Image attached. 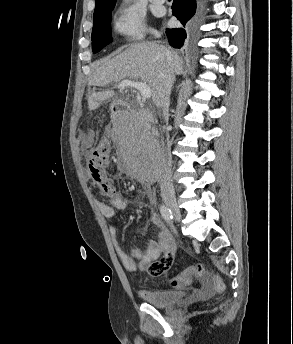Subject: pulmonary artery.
<instances>
[{
  "label": "pulmonary artery",
  "instance_id": "pulmonary-artery-1",
  "mask_svg": "<svg viewBox=\"0 0 293 344\" xmlns=\"http://www.w3.org/2000/svg\"><path fill=\"white\" fill-rule=\"evenodd\" d=\"M154 4H162L165 2V0H150Z\"/></svg>",
  "mask_w": 293,
  "mask_h": 344
}]
</instances>
